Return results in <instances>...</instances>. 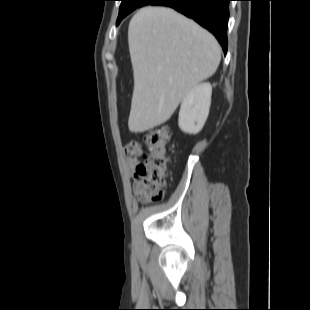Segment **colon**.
Masks as SVG:
<instances>
[{"label": "colon", "mask_w": 310, "mask_h": 310, "mask_svg": "<svg viewBox=\"0 0 310 310\" xmlns=\"http://www.w3.org/2000/svg\"><path fill=\"white\" fill-rule=\"evenodd\" d=\"M170 137L171 131L168 127H158L144 135V163L136 168L134 174V192L141 202H156L163 196L169 168L167 146Z\"/></svg>", "instance_id": "1"}]
</instances>
